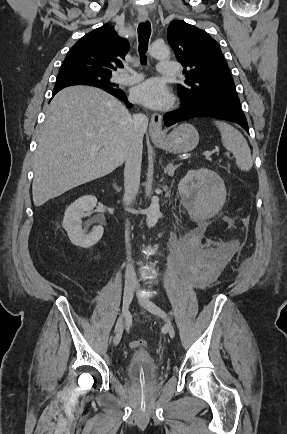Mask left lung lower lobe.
Instances as JSON below:
<instances>
[{"instance_id": "obj_1", "label": "left lung lower lobe", "mask_w": 287, "mask_h": 434, "mask_svg": "<svg viewBox=\"0 0 287 434\" xmlns=\"http://www.w3.org/2000/svg\"><path fill=\"white\" fill-rule=\"evenodd\" d=\"M180 109L164 115V123L171 126L177 122L195 117H211L235 122L248 133L249 127L239 101L223 99H184Z\"/></svg>"}]
</instances>
